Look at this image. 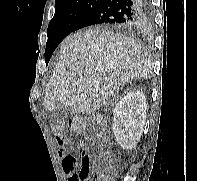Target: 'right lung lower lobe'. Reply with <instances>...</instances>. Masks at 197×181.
Here are the masks:
<instances>
[{
    "mask_svg": "<svg viewBox=\"0 0 197 181\" xmlns=\"http://www.w3.org/2000/svg\"><path fill=\"white\" fill-rule=\"evenodd\" d=\"M148 13L149 0H102L81 17L74 31L97 24L119 29L140 27L146 22Z\"/></svg>",
    "mask_w": 197,
    "mask_h": 181,
    "instance_id": "obj_1",
    "label": "right lung lower lobe"
}]
</instances>
